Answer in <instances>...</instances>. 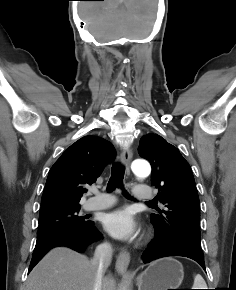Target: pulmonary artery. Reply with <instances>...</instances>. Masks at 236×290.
<instances>
[{
  "label": "pulmonary artery",
  "mask_w": 236,
  "mask_h": 290,
  "mask_svg": "<svg viewBox=\"0 0 236 290\" xmlns=\"http://www.w3.org/2000/svg\"><path fill=\"white\" fill-rule=\"evenodd\" d=\"M133 196L136 200L145 201L154 197V190L149 187H135ZM115 202L114 198L106 193H96V196L88 199L84 204L87 211L101 210L109 208Z\"/></svg>",
  "instance_id": "e3ab8cb5"
}]
</instances>
